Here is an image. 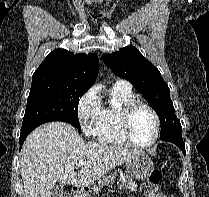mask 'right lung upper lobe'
<instances>
[{"label":"right lung upper lobe","instance_id":"right-lung-upper-lobe-1","mask_svg":"<svg viewBox=\"0 0 209 197\" xmlns=\"http://www.w3.org/2000/svg\"><path fill=\"white\" fill-rule=\"evenodd\" d=\"M99 72L96 54H73L64 49L52 51L34 72L32 82L75 83L91 87Z\"/></svg>","mask_w":209,"mask_h":197}]
</instances>
